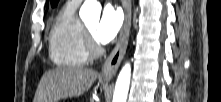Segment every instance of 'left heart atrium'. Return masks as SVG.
Segmentation results:
<instances>
[{
  "label": "left heart atrium",
  "mask_w": 221,
  "mask_h": 102,
  "mask_svg": "<svg viewBox=\"0 0 221 102\" xmlns=\"http://www.w3.org/2000/svg\"><path fill=\"white\" fill-rule=\"evenodd\" d=\"M123 24V14L120 9L107 5L102 12L100 21L95 28L94 35L98 42L106 44L119 32Z\"/></svg>",
  "instance_id": "obj_1"
}]
</instances>
